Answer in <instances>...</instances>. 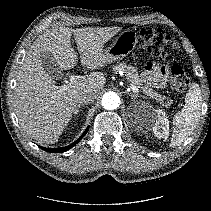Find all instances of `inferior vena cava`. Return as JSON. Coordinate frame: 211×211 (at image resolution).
<instances>
[{"instance_id": "602c4592", "label": "inferior vena cava", "mask_w": 211, "mask_h": 211, "mask_svg": "<svg viewBox=\"0 0 211 211\" xmlns=\"http://www.w3.org/2000/svg\"><path fill=\"white\" fill-rule=\"evenodd\" d=\"M95 94L89 90H85L83 92H80L77 95V102L79 104H89L91 102H93L94 98H95Z\"/></svg>"}]
</instances>
